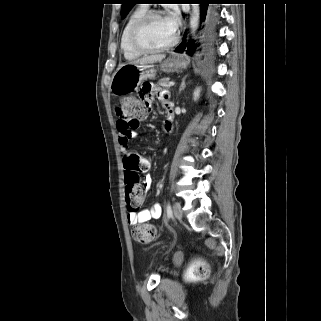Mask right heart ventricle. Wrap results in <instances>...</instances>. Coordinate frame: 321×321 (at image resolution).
I'll return each instance as SVG.
<instances>
[{
  "mask_svg": "<svg viewBox=\"0 0 321 321\" xmlns=\"http://www.w3.org/2000/svg\"><path fill=\"white\" fill-rule=\"evenodd\" d=\"M146 12V7L136 8L128 17L120 36V49L126 60H135L142 54L132 48L129 41L131 29L137 19Z\"/></svg>",
  "mask_w": 321,
  "mask_h": 321,
  "instance_id": "1",
  "label": "right heart ventricle"
}]
</instances>
